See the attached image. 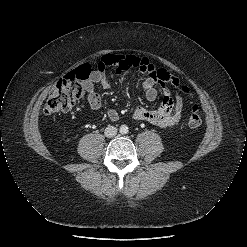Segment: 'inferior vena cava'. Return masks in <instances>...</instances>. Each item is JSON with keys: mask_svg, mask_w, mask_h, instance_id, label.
Here are the masks:
<instances>
[{"mask_svg": "<svg viewBox=\"0 0 247 247\" xmlns=\"http://www.w3.org/2000/svg\"><path fill=\"white\" fill-rule=\"evenodd\" d=\"M105 136L108 138L114 137L117 134V128L114 126H108L104 132Z\"/></svg>", "mask_w": 247, "mask_h": 247, "instance_id": "obj_1", "label": "inferior vena cava"}]
</instances>
